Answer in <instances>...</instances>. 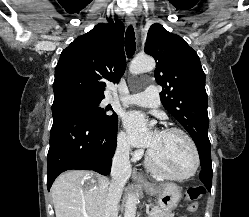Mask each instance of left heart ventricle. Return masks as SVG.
Wrapping results in <instances>:
<instances>
[{
	"label": "left heart ventricle",
	"instance_id": "left-heart-ventricle-1",
	"mask_svg": "<svg viewBox=\"0 0 249 217\" xmlns=\"http://www.w3.org/2000/svg\"><path fill=\"white\" fill-rule=\"evenodd\" d=\"M150 150L156 164L168 173L182 175L193 166V151L181 134L160 132Z\"/></svg>",
	"mask_w": 249,
	"mask_h": 217
}]
</instances>
